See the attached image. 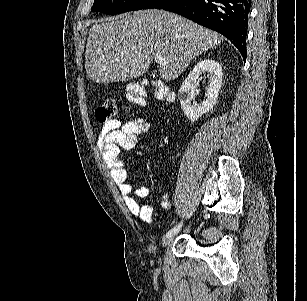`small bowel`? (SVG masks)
<instances>
[{
  "mask_svg": "<svg viewBox=\"0 0 307 301\" xmlns=\"http://www.w3.org/2000/svg\"><path fill=\"white\" fill-rule=\"evenodd\" d=\"M148 129L149 122L145 117H135L125 122L112 120L102 126L98 137V145L127 208L140 219L152 222L153 208L137 201V198L146 197L149 194V189L142 186L134 191L132 190V186L127 179L125 165L119 158L120 151L135 148L139 136L148 131ZM162 205L166 208L172 205L169 190L163 195Z\"/></svg>",
  "mask_w": 307,
  "mask_h": 301,
  "instance_id": "1",
  "label": "small bowel"
}]
</instances>
